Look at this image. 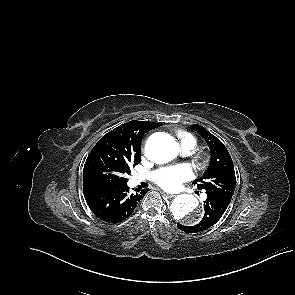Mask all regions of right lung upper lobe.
Listing matches in <instances>:
<instances>
[{"mask_svg": "<svg viewBox=\"0 0 295 295\" xmlns=\"http://www.w3.org/2000/svg\"><path fill=\"white\" fill-rule=\"evenodd\" d=\"M160 123L132 120L105 134L102 139L110 138L140 152L142 137L148 131L161 126Z\"/></svg>", "mask_w": 295, "mask_h": 295, "instance_id": "right-lung-upper-lobe-1", "label": "right lung upper lobe"}]
</instances>
